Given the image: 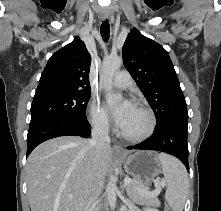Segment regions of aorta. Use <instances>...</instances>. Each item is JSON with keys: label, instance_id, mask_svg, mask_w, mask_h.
Masks as SVG:
<instances>
[{"label": "aorta", "instance_id": "762f6f07", "mask_svg": "<svg viewBox=\"0 0 221 211\" xmlns=\"http://www.w3.org/2000/svg\"><path fill=\"white\" fill-rule=\"evenodd\" d=\"M121 65L122 59L120 57H109L103 61L100 81L105 90L106 101L109 105H113L122 100V95L115 94L112 87L113 75L121 67ZM116 182L117 177L112 176L107 188L108 201L111 209H114L116 206Z\"/></svg>", "mask_w": 221, "mask_h": 211}]
</instances>
